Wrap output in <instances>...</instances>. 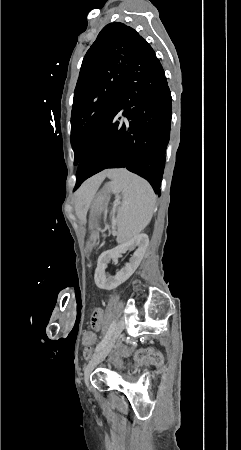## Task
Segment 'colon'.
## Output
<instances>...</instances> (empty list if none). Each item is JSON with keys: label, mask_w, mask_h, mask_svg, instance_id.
I'll return each instance as SVG.
<instances>
[{"label": "colon", "mask_w": 241, "mask_h": 450, "mask_svg": "<svg viewBox=\"0 0 241 450\" xmlns=\"http://www.w3.org/2000/svg\"><path fill=\"white\" fill-rule=\"evenodd\" d=\"M84 334V342L88 344L86 347L83 348V357L86 359L87 362L91 361V350L93 349V346L89 344L91 340H94L95 333L92 328H85L83 331ZM163 356L166 354L164 351L161 353ZM135 361L138 363H156L157 366L162 365V358L160 357L159 353L156 351H152L150 347L146 346L143 348L142 351L137 352L135 356Z\"/></svg>", "instance_id": "obj_1"}]
</instances>
